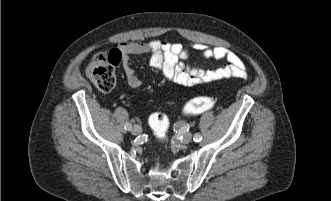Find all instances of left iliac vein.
<instances>
[{
    "label": "left iliac vein",
    "mask_w": 331,
    "mask_h": 201,
    "mask_svg": "<svg viewBox=\"0 0 331 201\" xmlns=\"http://www.w3.org/2000/svg\"><path fill=\"white\" fill-rule=\"evenodd\" d=\"M192 140V134L191 133H185L183 134L182 136V142L185 143V144H188L190 143Z\"/></svg>",
    "instance_id": "left-iliac-vein-1"
}]
</instances>
